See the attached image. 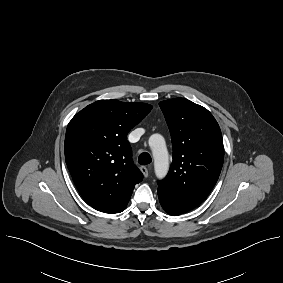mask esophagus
I'll return each mask as SVG.
<instances>
[{"label": "esophagus", "mask_w": 283, "mask_h": 283, "mask_svg": "<svg viewBox=\"0 0 283 283\" xmlns=\"http://www.w3.org/2000/svg\"><path fill=\"white\" fill-rule=\"evenodd\" d=\"M141 172L143 173L144 177H148L149 175V169L146 166L140 167Z\"/></svg>", "instance_id": "esophagus-1"}]
</instances>
